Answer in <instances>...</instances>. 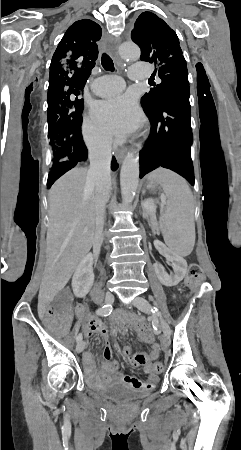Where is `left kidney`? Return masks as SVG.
<instances>
[{
    "instance_id": "1",
    "label": "left kidney",
    "mask_w": 241,
    "mask_h": 450,
    "mask_svg": "<svg viewBox=\"0 0 241 450\" xmlns=\"http://www.w3.org/2000/svg\"><path fill=\"white\" fill-rule=\"evenodd\" d=\"M154 246L156 250H158V252H160L166 260H168V262H171V266L174 270V274H170L169 276L161 264H154V270L158 280H160L163 286H177L186 274V260L181 258V256H176V254H173V252H171L169 248H166L165 244H162L159 240H154Z\"/></svg>"
}]
</instances>
